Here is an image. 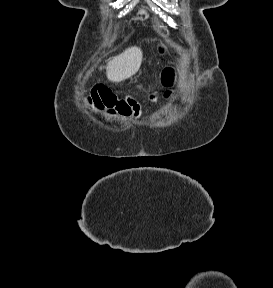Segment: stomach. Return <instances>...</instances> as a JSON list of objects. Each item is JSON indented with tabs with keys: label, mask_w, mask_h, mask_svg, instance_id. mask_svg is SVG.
Wrapping results in <instances>:
<instances>
[{
	"label": "stomach",
	"mask_w": 273,
	"mask_h": 288,
	"mask_svg": "<svg viewBox=\"0 0 273 288\" xmlns=\"http://www.w3.org/2000/svg\"><path fill=\"white\" fill-rule=\"evenodd\" d=\"M156 51L159 55L164 56L168 51V46L166 43H158Z\"/></svg>",
	"instance_id": "0dacf381"
}]
</instances>
